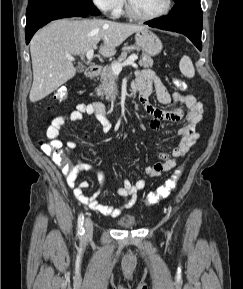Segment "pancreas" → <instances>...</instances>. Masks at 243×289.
Returning a JSON list of instances; mask_svg holds the SVG:
<instances>
[{"label": "pancreas", "mask_w": 243, "mask_h": 289, "mask_svg": "<svg viewBox=\"0 0 243 289\" xmlns=\"http://www.w3.org/2000/svg\"><path fill=\"white\" fill-rule=\"evenodd\" d=\"M133 50L140 51L139 47L137 46L134 45L127 46L125 50L121 53V55L118 57V59L114 61L112 64L122 62L127 57V54ZM112 64L107 65L102 69L100 75L101 85H99V87L96 88V93L98 97H101V99H103L105 96L106 100L111 101H113L118 95L117 85L115 84V74L111 69ZM139 65L144 68L152 67L153 60L146 53H142V58L139 61Z\"/></svg>", "instance_id": "pancreas-1"}]
</instances>
